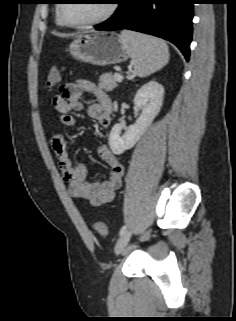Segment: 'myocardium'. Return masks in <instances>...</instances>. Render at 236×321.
Returning <instances> with one entry per match:
<instances>
[{
    "mask_svg": "<svg viewBox=\"0 0 236 321\" xmlns=\"http://www.w3.org/2000/svg\"><path fill=\"white\" fill-rule=\"evenodd\" d=\"M65 4L66 3L62 2L58 5L57 14L64 25H67L69 27H74V28H86V27L102 24L108 19H110L117 10L116 1L111 0V1H108L107 11L101 17L95 20L87 21V22H72V21H69L64 15L63 8Z\"/></svg>",
    "mask_w": 236,
    "mask_h": 321,
    "instance_id": "obj_1",
    "label": "myocardium"
}]
</instances>
